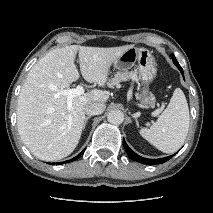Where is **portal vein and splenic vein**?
<instances>
[{"instance_id": "18ae733b", "label": "portal vein and splenic vein", "mask_w": 213, "mask_h": 213, "mask_svg": "<svg viewBox=\"0 0 213 213\" xmlns=\"http://www.w3.org/2000/svg\"><path fill=\"white\" fill-rule=\"evenodd\" d=\"M84 93V88L82 85H77L76 88L66 89L62 92V94L67 96L68 105H71V100L75 96H79Z\"/></svg>"}]
</instances>
